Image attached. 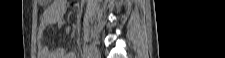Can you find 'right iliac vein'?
<instances>
[{
    "mask_svg": "<svg viewBox=\"0 0 225 58\" xmlns=\"http://www.w3.org/2000/svg\"><path fill=\"white\" fill-rule=\"evenodd\" d=\"M89 58H99L100 53L98 48L94 44H90L88 47Z\"/></svg>",
    "mask_w": 225,
    "mask_h": 58,
    "instance_id": "obj_1",
    "label": "right iliac vein"
}]
</instances>
